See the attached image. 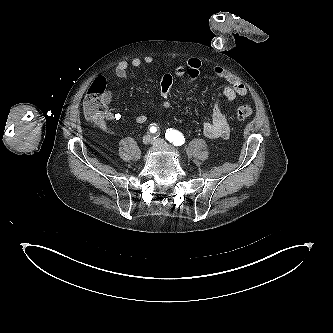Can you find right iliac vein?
<instances>
[{
    "mask_svg": "<svg viewBox=\"0 0 333 333\" xmlns=\"http://www.w3.org/2000/svg\"><path fill=\"white\" fill-rule=\"evenodd\" d=\"M150 142H152L151 137H150L149 135H145V136L143 137V143H144L145 145H147V144H149Z\"/></svg>",
    "mask_w": 333,
    "mask_h": 333,
    "instance_id": "right-iliac-vein-1",
    "label": "right iliac vein"
}]
</instances>
